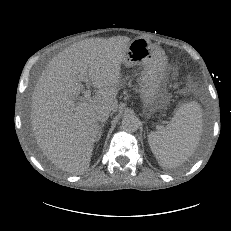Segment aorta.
<instances>
[{"label":"aorta","mask_w":231,"mask_h":231,"mask_svg":"<svg viewBox=\"0 0 231 231\" xmlns=\"http://www.w3.org/2000/svg\"><path fill=\"white\" fill-rule=\"evenodd\" d=\"M122 128L127 132H135L139 129L140 120L137 116L132 114H126L122 118Z\"/></svg>","instance_id":"762f6f07"}]
</instances>
